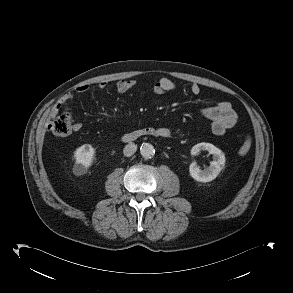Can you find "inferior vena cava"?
<instances>
[{"instance_id":"inferior-vena-cava-1","label":"inferior vena cava","mask_w":293,"mask_h":293,"mask_svg":"<svg viewBox=\"0 0 293 293\" xmlns=\"http://www.w3.org/2000/svg\"><path fill=\"white\" fill-rule=\"evenodd\" d=\"M137 150V145L134 143L130 142L124 147L123 153L126 157L132 156Z\"/></svg>"}]
</instances>
